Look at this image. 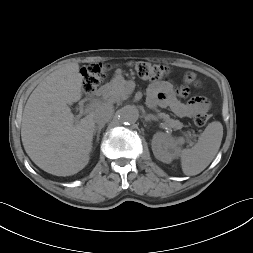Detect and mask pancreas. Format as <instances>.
<instances>
[{"mask_svg":"<svg viewBox=\"0 0 253 253\" xmlns=\"http://www.w3.org/2000/svg\"><path fill=\"white\" fill-rule=\"evenodd\" d=\"M132 93V89L128 86L127 82L123 79H117L107 84L104 87L103 97L109 102H119L125 100ZM157 117L163 119L164 125L175 130H179L183 127V124L179 120L171 119L168 114L160 112L159 109H155Z\"/></svg>","mask_w":253,"mask_h":253,"instance_id":"pancreas-1","label":"pancreas"}]
</instances>
